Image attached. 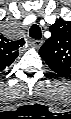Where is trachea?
<instances>
[{"label":"trachea","mask_w":71,"mask_h":119,"mask_svg":"<svg viewBox=\"0 0 71 119\" xmlns=\"http://www.w3.org/2000/svg\"><path fill=\"white\" fill-rule=\"evenodd\" d=\"M29 36L34 39H40L42 36L41 29L37 24H33L29 30Z\"/></svg>","instance_id":"3493384b"}]
</instances>
